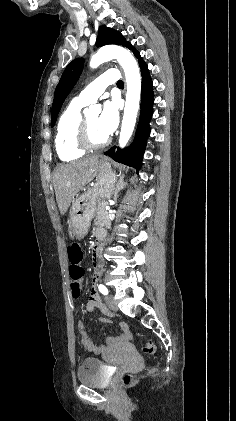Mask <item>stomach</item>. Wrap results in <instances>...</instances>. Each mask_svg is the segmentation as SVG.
Instances as JSON below:
<instances>
[{"label":"stomach","mask_w":236,"mask_h":421,"mask_svg":"<svg viewBox=\"0 0 236 421\" xmlns=\"http://www.w3.org/2000/svg\"><path fill=\"white\" fill-rule=\"evenodd\" d=\"M96 176L97 182L94 186L72 200L68 219L69 233L78 241L86 237L91 221L97 213L99 200L110 198L118 182V176L105 156L99 158Z\"/></svg>","instance_id":"obj_1"}]
</instances>
